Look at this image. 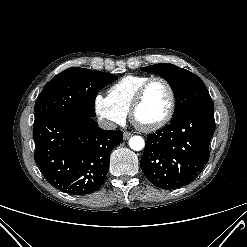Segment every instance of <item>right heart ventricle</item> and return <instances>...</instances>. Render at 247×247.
Segmentation results:
<instances>
[{
    "label": "right heart ventricle",
    "instance_id": "obj_1",
    "mask_svg": "<svg viewBox=\"0 0 247 247\" xmlns=\"http://www.w3.org/2000/svg\"><path fill=\"white\" fill-rule=\"evenodd\" d=\"M148 78L150 76L141 74L124 76L109 88L108 96L117 106L128 112L136 92Z\"/></svg>",
    "mask_w": 247,
    "mask_h": 247
}]
</instances>
